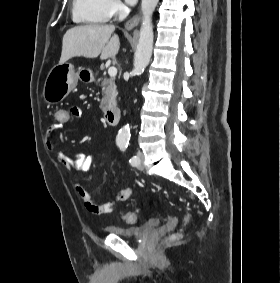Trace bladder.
Segmentation results:
<instances>
[{"mask_svg": "<svg viewBox=\"0 0 280 283\" xmlns=\"http://www.w3.org/2000/svg\"><path fill=\"white\" fill-rule=\"evenodd\" d=\"M161 218H152L141 225H111L105 228V232L126 239L140 241L155 232L162 225Z\"/></svg>", "mask_w": 280, "mask_h": 283, "instance_id": "obj_1", "label": "bladder"}]
</instances>
